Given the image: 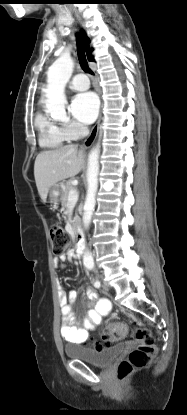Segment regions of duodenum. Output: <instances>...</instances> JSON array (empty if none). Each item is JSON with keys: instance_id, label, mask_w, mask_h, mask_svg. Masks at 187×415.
Here are the masks:
<instances>
[{"instance_id": "duodenum-1", "label": "duodenum", "mask_w": 187, "mask_h": 415, "mask_svg": "<svg viewBox=\"0 0 187 415\" xmlns=\"http://www.w3.org/2000/svg\"><path fill=\"white\" fill-rule=\"evenodd\" d=\"M72 230L75 238V255H78L83 247L82 232L78 221L73 222Z\"/></svg>"}]
</instances>
